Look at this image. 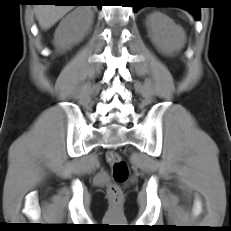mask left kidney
Wrapping results in <instances>:
<instances>
[{
    "instance_id": "left-kidney-1",
    "label": "left kidney",
    "mask_w": 231,
    "mask_h": 231,
    "mask_svg": "<svg viewBox=\"0 0 231 231\" xmlns=\"http://www.w3.org/2000/svg\"><path fill=\"white\" fill-rule=\"evenodd\" d=\"M147 26L152 42L163 53L172 54L183 48L186 40L185 31L167 15L160 12L151 14Z\"/></svg>"
}]
</instances>
